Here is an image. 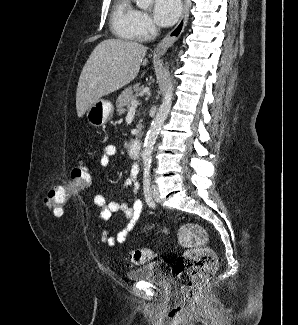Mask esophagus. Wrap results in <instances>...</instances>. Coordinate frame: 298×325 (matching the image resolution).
<instances>
[{"instance_id": "1", "label": "esophagus", "mask_w": 298, "mask_h": 325, "mask_svg": "<svg viewBox=\"0 0 298 325\" xmlns=\"http://www.w3.org/2000/svg\"><path fill=\"white\" fill-rule=\"evenodd\" d=\"M190 0H184V9L176 26L157 45L155 54L164 55L168 48L180 37L186 27L189 18Z\"/></svg>"}]
</instances>
